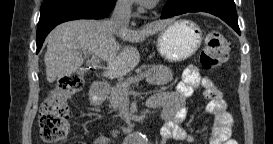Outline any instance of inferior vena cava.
Masks as SVG:
<instances>
[{
  "mask_svg": "<svg viewBox=\"0 0 273 144\" xmlns=\"http://www.w3.org/2000/svg\"><path fill=\"white\" fill-rule=\"evenodd\" d=\"M132 0H118L116 2L111 24L115 29L128 27L131 17Z\"/></svg>",
  "mask_w": 273,
  "mask_h": 144,
  "instance_id": "602c4592",
  "label": "inferior vena cava"
}]
</instances>
